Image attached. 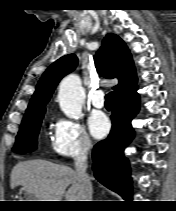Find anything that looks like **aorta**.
I'll list each match as a JSON object with an SVG mask.
<instances>
[{"label": "aorta", "instance_id": "762f6f07", "mask_svg": "<svg viewBox=\"0 0 176 211\" xmlns=\"http://www.w3.org/2000/svg\"><path fill=\"white\" fill-rule=\"evenodd\" d=\"M58 101L61 110L69 118L77 119L81 116L83 92L80 78L71 74L65 77L59 86Z\"/></svg>", "mask_w": 176, "mask_h": 211}]
</instances>
